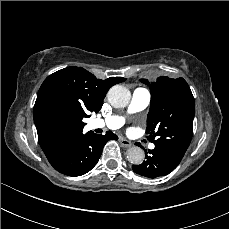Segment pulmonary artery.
Here are the masks:
<instances>
[{
	"label": "pulmonary artery",
	"instance_id": "1",
	"mask_svg": "<svg viewBox=\"0 0 229 229\" xmlns=\"http://www.w3.org/2000/svg\"><path fill=\"white\" fill-rule=\"evenodd\" d=\"M151 95L148 89L146 88H137L134 90L131 101L128 107L130 113L139 112L144 110L150 103ZM124 124V118L119 115H113L107 119H93L90 122V129H109L116 130ZM154 145L151 144L150 148H153Z\"/></svg>",
	"mask_w": 229,
	"mask_h": 229
}]
</instances>
